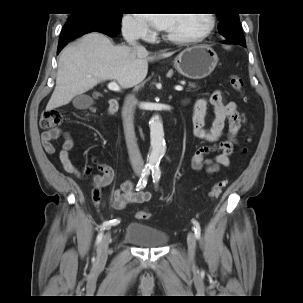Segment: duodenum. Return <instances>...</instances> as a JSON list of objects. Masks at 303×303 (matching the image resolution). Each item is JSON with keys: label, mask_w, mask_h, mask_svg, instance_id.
Wrapping results in <instances>:
<instances>
[{"label": "duodenum", "mask_w": 303, "mask_h": 303, "mask_svg": "<svg viewBox=\"0 0 303 303\" xmlns=\"http://www.w3.org/2000/svg\"><path fill=\"white\" fill-rule=\"evenodd\" d=\"M118 108H119L118 101L115 99H111L109 101V114L110 115L115 114L117 112Z\"/></svg>", "instance_id": "1"}]
</instances>
